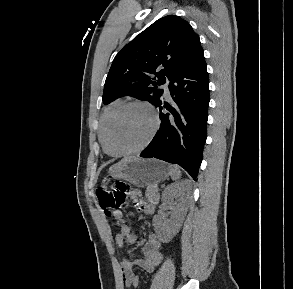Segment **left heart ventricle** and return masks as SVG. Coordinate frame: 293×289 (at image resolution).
<instances>
[{
	"label": "left heart ventricle",
	"instance_id": "1",
	"mask_svg": "<svg viewBox=\"0 0 293 289\" xmlns=\"http://www.w3.org/2000/svg\"><path fill=\"white\" fill-rule=\"evenodd\" d=\"M152 128L148 109L140 105L126 108L114 121L109 143L113 151H125L140 146Z\"/></svg>",
	"mask_w": 293,
	"mask_h": 289
}]
</instances>
